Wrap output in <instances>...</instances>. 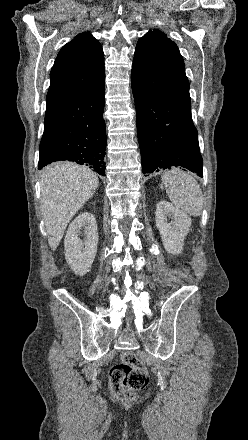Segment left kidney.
I'll list each match as a JSON object with an SVG mask.
<instances>
[{"label":"left kidney","instance_id":"obj_1","mask_svg":"<svg viewBox=\"0 0 248 440\" xmlns=\"http://www.w3.org/2000/svg\"><path fill=\"white\" fill-rule=\"evenodd\" d=\"M168 219H172L168 222ZM155 222L163 246L168 253L180 254L184 246V238L191 227L190 217L167 201H159L155 211Z\"/></svg>","mask_w":248,"mask_h":440}]
</instances>
